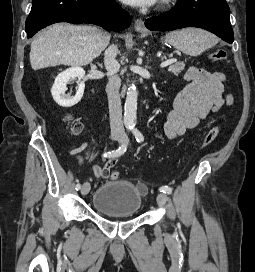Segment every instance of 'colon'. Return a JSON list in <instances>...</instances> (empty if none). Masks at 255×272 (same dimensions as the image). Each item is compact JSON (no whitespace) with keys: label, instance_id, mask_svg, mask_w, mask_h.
<instances>
[{"label":"colon","instance_id":"obj_1","mask_svg":"<svg viewBox=\"0 0 255 272\" xmlns=\"http://www.w3.org/2000/svg\"><path fill=\"white\" fill-rule=\"evenodd\" d=\"M211 59L215 62H225L227 59V53L224 50H217L214 51L211 54ZM66 121L68 122L69 126H70V131L73 134H79L82 130H83V124L80 121H76L74 120L71 116H66ZM219 134V126L215 125L212 126L207 133L205 134L203 141L201 143L200 146V150H204L206 148H208L209 146H211L214 141L216 140V138L218 137ZM119 177V172L114 171L111 173V178L112 179H118ZM144 191V190H142Z\"/></svg>","mask_w":255,"mask_h":272}]
</instances>
